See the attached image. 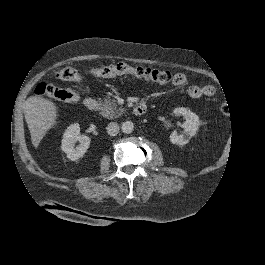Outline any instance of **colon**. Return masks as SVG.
<instances>
[{
    "label": "colon",
    "instance_id": "colon-1",
    "mask_svg": "<svg viewBox=\"0 0 265 265\" xmlns=\"http://www.w3.org/2000/svg\"><path fill=\"white\" fill-rule=\"evenodd\" d=\"M88 74L96 77L111 78L120 75H131L137 79L152 81L157 83H167L171 79L168 71L131 66L126 63H117L105 67L89 69ZM56 77L63 81L73 83V88H61L52 84L40 83L35 89V93L40 96H48L64 102H76L80 98V87L82 84L81 75L72 67H64L57 71ZM224 111V109H223Z\"/></svg>",
    "mask_w": 265,
    "mask_h": 265
}]
</instances>
